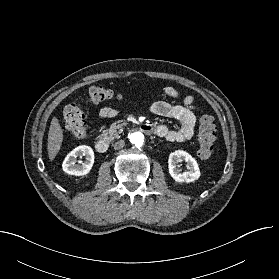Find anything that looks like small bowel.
<instances>
[{
	"mask_svg": "<svg viewBox=\"0 0 279 279\" xmlns=\"http://www.w3.org/2000/svg\"><path fill=\"white\" fill-rule=\"evenodd\" d=\"M163 94L173 99L180 96L179 91L171 86L164 87ZM198 109L192 95H186L183 98L182 104H170L166 101L154 102L150 107L151 113L174 119L180 124V129L178 130H170L163 124L157 125L154 127V134L170 142H184L190 140L194 134L196 124L195 112ZM117 114L118 110L112 106H105L99 111V116L101 118H113L117 116Z\"/></svg>",
	"mask_w": 279,
	"mask_h": 279,
	"instance_id": "c3829d8e",
	"label": "small bowel"
}]
</instances>
